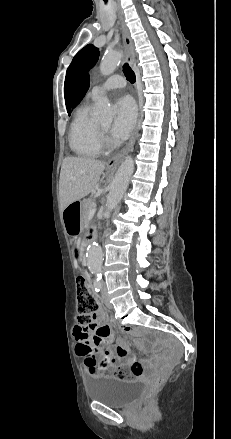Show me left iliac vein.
<instances>
[{
	"mask_svg": "<svg viewBox=\"0 0 231 439\" xmlns=\"http://www.w3.org/2000/svg\"><path fill=\"white\" fill-rule=\"evenodd\" d=\"M101 294H102V298H103V301H104V304L106 305V307L112 308V305H111V303L108 299V296H107V287H106L105 282H102Z\"/></svg>",
	"mask_w": 231,
	"mask_h": 439,
	"instance_id": "4c4485c4",
	"label": "left iliac vein"
}]
</instances>
